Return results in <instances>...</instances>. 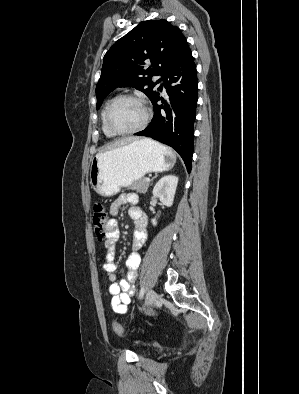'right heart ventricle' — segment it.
Listing matches in <instances>:
<instances>
[{"mask_svg":"<svg viewBox=\"0 0 299 394\" xmlns=\"http://www.w3.org/2000/svg\"><path fill=\"white\" fill-rule=\"evenodd\" d=\"M109 102H110V100L105 103V105H104V107L102 109V112H101V124H102V131L105 134V136H107V137H114L115 135L112 134L108 130V128H107V126L105 124V113H106V109H107V106H108Z\"/></svg>","mask_w":299,"mask_h":394,"instance_id":"obj_1","label":"right heart ventricle"}]
</instances>
